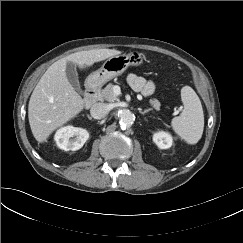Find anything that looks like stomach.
<instances>
[{
    "label": "stomach",
    "instance_id": "obj_1",
    "mask_svg": "<svg viewBox=\"0 0 243 243\" xmlns=\"http://www.w3.org/2000/svg\"><path fill=\"white\" fill-rule=\"evenodd\" d=\"M143 61L144 55L138 51L110 57L103 63L101 68L87 77L86 83L92 86H102L121 75L129 66H139Z\"/></svg>",
    "mask_w": 243,
    "mask_h": 243
}]
</instances>
